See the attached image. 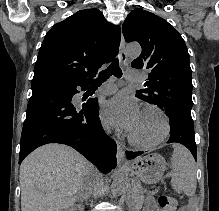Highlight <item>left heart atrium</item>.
I'll list each match as a JSON object with an SVG mask.
<instances>
[{
  "label": "left heart atrium",
  "instance_id": "obj_1",
  "mask_svg": "<svg viewBox=\"0 0 219 211\" xmlns=\"http://www.w3.org/2000/svg\"><path fill=\"white\" fill-rule=\"evenodd\" d=\"M140 113L135 99L119 94L104 102L100 116L105 125L131 132L139 119Z\"/></svg>",
  "mask_w": 219,
  "mask_h": 211
}]
</instances>
